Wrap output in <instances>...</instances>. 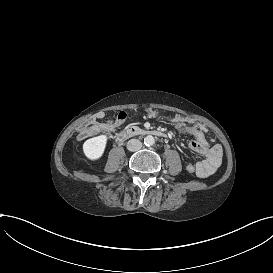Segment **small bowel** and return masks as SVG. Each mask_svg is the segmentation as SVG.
<instances>
[{
	"label": "small bowel",
	"mask_w": 273,
	"mask_h": 273,
	"mask_svg": "<svg viewBox=\"0 0 273 273\" xmlns=\"http://www.w3.org/2000/svg\"><path fill=\"white\" fill-rule=\"evenodd\" d=\"M127 114L121 111L116 117L107 119L104 112L95 114V123L90 130L80 129L83 136H91L101 132L113 133L117 131L126 121ZM172 127L176 132L182 136H190L194 139L189 143V148L204 157L196 165H189L194 167L196 174L201 178H206L211 175L221 164L223 150L219 144L210 145L206 134L208 129L203 124L195 119L185 116L183 114H176L170 119ZM190 172V171H189Z\"/></svg>",
	"instance_id": "1"
}]
</instances>
